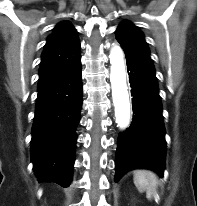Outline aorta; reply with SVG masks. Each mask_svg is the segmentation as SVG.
<instances>
[{
    "label": "aorta",
    "mask_w": 197,
    "mask_h": 206,
    "mask_svg": "<svg viewBox=\"0 0 197 206\" xmlns=\"http://www.w3.org/2000/svg\"><path fill=\"white\" fill-rule=\"evenodd\" d=\"M109 58L111 64L110 82L116 123L118 127L124 129L129 125L130 121V102L121 48L117 45L113 46Z\"/></svg>",
    "instance_id": "obj_1"
}]
</instances>
